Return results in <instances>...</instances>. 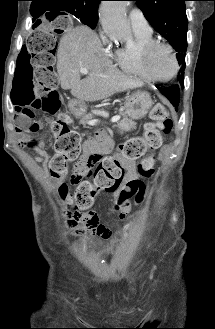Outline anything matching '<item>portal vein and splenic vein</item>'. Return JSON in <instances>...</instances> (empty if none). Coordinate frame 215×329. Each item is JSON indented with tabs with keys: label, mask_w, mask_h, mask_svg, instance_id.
Listing matches in <instances>:
<instances>
[{
	"label": "portal vein and splenic vein",
	"mask_w": 215,
	"mask_h": 329,
	"mask_svg": "<svg viewBox=\"0 0 215 329\" xmlns=\"http://www.w3.org/2000/svg\"><path fill=\"white\" fill-rule=\"evenodd\" d=\"M80 73L84 74V75H87L89 73L88 69L87 68H81L80 69ZM118 120H120V116L119 115H116L114 117L111 118V122H117ZM98 122L97 119H94V120H89L87 123L89 125H95L96 123Z\"/></svg>",
	"instance_id": "18ae733b"
}]
</instances>
